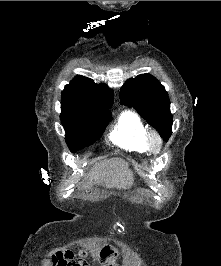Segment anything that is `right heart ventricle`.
I'll list each match as a JSON object with an SVG mask.
<instances>
[{"mask_svg": "<svg viewBox=\"0 0 221 266\" xmlns=\"http://www.w3.org/2000/svg\"><path fill=\"white\" fill-rule=\"evenodd\" d=\"M147 135L148 131L139 115L132 111H123L109 138L113 144L122 149L148 153Z\"/></svg>", "mask_w": 221, "mask_h": 266, "instance_id": "1", "label": "right heart ventricle"}]
</instances>
